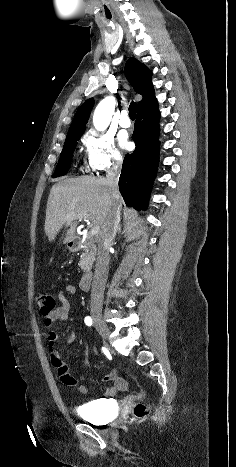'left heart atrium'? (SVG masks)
Segmentation results:
<instances>
[{
  "mask_svg": "<svg viewBox=\"0 0 236 467\" xmlns=\"http://www.w3.org/2000/svg\"><path fill=\"white\" fill-rule=\"evenodd\" d=\"M119 142L122 147L127 148L129 146L128 137L125 133L119 135Z\"/></svg>",
  "mask_w": 236,
  "mask_h": 467,
  "instance_id": "1",
  "label": "left heart atrium"
}]
</instances>
